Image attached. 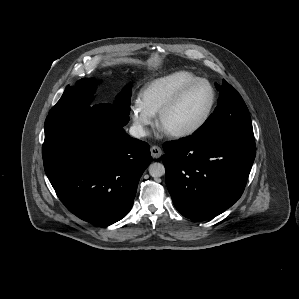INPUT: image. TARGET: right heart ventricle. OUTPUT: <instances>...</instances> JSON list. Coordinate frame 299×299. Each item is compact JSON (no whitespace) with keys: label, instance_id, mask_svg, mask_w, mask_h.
<instances>
[{"label":"right heart ventricle","instance_id":"e07e8e85","mask_svg":"<svg viewBox=\"0 0 299 299\" xmlns=\"http://www.w3.org/2000/svg\"><path fill=\"white\" fill-rule=\"evenodd\" d=\"M198 78L189 71H177L157 78L141 90L139 102L156 115L182 86Z\"/></svg>","mask_w":299,"mask_h":299}]
</instances>
